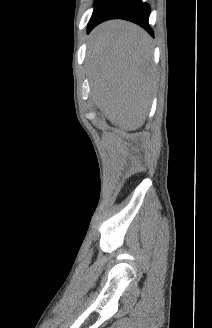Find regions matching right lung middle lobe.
<instances>
[{
	"label": "right lung middle lobe",
	"mask_w": 212,
	"mask_h": 328,
	"mask_svg": "<svg viewBox=\"0 0 212 328\" xmlns=\"http://www.w3.org/2000/svg\"><path fill=\"white\" fill-rule=\"evenodd\" d=\"M97 2H98V0H95V1H94V4H96Z\"/></svg>",
	"instance_id": "obj_1"
}]
</instances>
